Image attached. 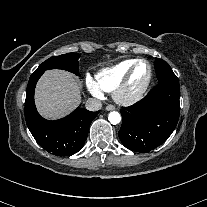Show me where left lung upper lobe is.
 <instances>
[{
    "label": "left lung upper lobe",
    "instance_id": "5c2ea615",
    "mask_svg": "<svg viewBox=\"0 0 207 207\" xmlns=\"http://www.w3.org/2000/svg\"><path fill=\"white\" fill-rule=\"evenodd\" d=\"M154 65L159 82L171 78H177L170 66L164 60L156 58Z\"/></svg>",
    "mask_w": 207,
    "mask_h": 207
}]
</instances>
